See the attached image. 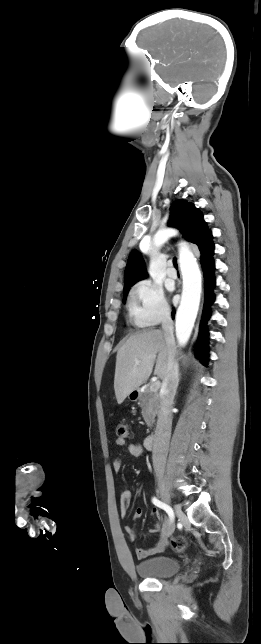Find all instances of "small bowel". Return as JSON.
Listing matches in <instances>:
<instances>
[{
  "instance_id": "obj_1",
  "label": "small bowel",
  "mask_w": 261,
  "mask_h": 644,
  "mask_svg": "<svg viewBox=\"0 0 261 644\" xmlns=\"http://www.w3.org/2000/svg\"><path fill=\"white\" fill-rule=\"evenodd\" d=\"M116 444L120 448H124L126 446L127 451L134 457L139 458V457H142L144 454V448L138 443H130L126 445V441L124 439L118 438L116 440ZM123 458L124 456L121 453L113 462V470L116 473H118L121 470V467L123 464ZM131 498H132V491L130 489L122 490L120 494V515L122 518H125L127 516V511H128ZM142 515H143V509L137 508L134 512L133 518L135 521H138L142 517ZM152 516L155 518L156 522L153 525V527L150 529V532L154 534H159V537H158V540L153 545L146 548L136 549V555L139 559H143L148 556L160 553L165 549L167 545L166 537L163 536V530L165 529L168 522L167 518L166 517L163 518L157 509H153ZM161 520L163 521L162 529L159 524V521ZM124 531L130 541H134L136 539L137 533L133 527L125 526Z\"/></svg>"
}]
</instances>
